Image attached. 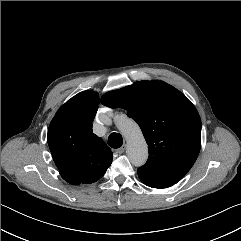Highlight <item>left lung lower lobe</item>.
Returning <instances> with one entry per match:
<instances>
[{"instance_id": "1", "label": "left lung lower lobe", "mask_w": 241, "mask_h": 241, "mask_svg": "<svg viewBox=\"0 0 241 241\" xmlns=\"http://www.w3.org/2000/svg\"><path fill=\"white\" fill-rule=\"evenodd\" d=\"M138 176L140 180L147 186L153 187V188H167L175 183L164 180L162 178L153 176L151 174H148L140 169L137 170Z\"/></svg>"}]
</instances>
